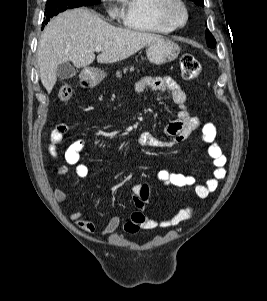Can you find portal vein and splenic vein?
I'll list each match as a JSON object with an SVG mask.
<instances>
[{
	"mask_svg": "<svg viewBox=\"0 0 267 301\" xmlns=\"http://www.w3.org/2000/svg\"><path fill=\"white\" fill-rule=\"evenodd\" d=\"M101 50H102V47H101V46H96V47H95V51L100 52Z\"/></svg>",
	"mask_w": 267,
	"mask_h": 301,
	"instance_id": "portal-vein-and-splenic-vein-1",
	"label": "portal vein and splenic vein"
}]
</instances>
